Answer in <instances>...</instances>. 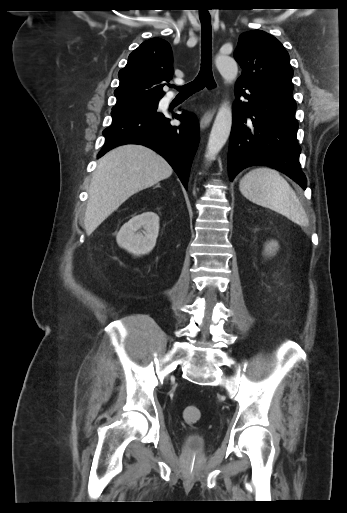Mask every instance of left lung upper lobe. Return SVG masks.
<instances>
[{"label":"left lung upper lobe","mask_w":347,"mask_h":513,"mask_svg":"<svg viewBox=\"0 0 347 513\" xmlns=\"http://www.w3.org/2000/svg\"><path fill=\"white\" fill-rule=\"evenodd\" d=\"M234 57L242 68L237 81L293 87L289 55L270 34L261 30L242 33Z\"/></svg>","instance_id":"5c2ea615"}]
</instances>
